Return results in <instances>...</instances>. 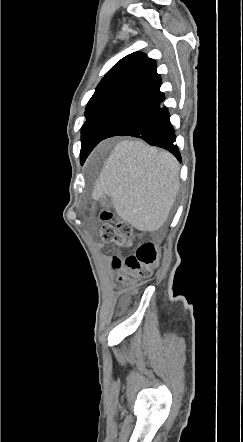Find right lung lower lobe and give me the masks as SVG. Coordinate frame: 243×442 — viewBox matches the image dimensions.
Masks as SVG:
<instances>
[{
    "mask_svg": "<svg viewBox=\"0 0 243 442\" xmlns=\"http://www.w3.org/2000/svg\"><path fill=\"white\" fill-rule=\"evenodd\" d=\"M161 78L147 83L122 98L102 119L93 132L81 163L102 140L113 136H133L150 145L164 148L179 161L181 155L168 109L162 106L165 97L160 91Z\"/></svg>",
    "mask_w": 243,
    "mask_h": 442,
    "instance_id": "obj_1",
    "label": "right lung lower lobe"
}]
</instances>
